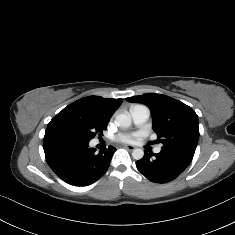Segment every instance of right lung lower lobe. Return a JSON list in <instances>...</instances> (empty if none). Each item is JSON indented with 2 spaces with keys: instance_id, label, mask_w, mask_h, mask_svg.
I'll return each instance as SVG.
<instances>
[{
  "instance_id": "98d812e1",
  "label": "right lung lower lobe",
  "mask_w": 235,
  "mask_h": 235,
  "mask_svg": "<svg viewBox=\"0 0 235 235\" xmlns=\"http://www.w3.org/2000/svg\"><path fill=\"white\" fill-rule=\"evenodd\" d=\"M88 143L60 128L45 132L43 146L47 163L66 183L87 186L107 171L116 149L109 146L95 153Z\"/></svg>"
}]
</instances>
